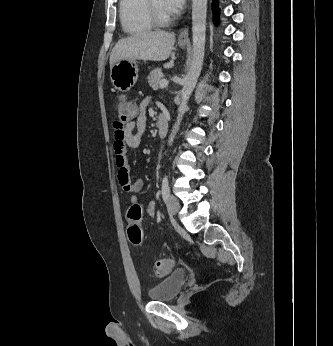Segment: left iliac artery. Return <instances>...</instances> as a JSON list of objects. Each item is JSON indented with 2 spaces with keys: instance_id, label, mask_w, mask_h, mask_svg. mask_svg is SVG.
Segmentation results:
<instances>
[{
  "instance_id": "left-iliac-artery-1",
  "label": "left iliac artery",
  "mask_w": 333,
  "mask_h": 346,
  "mask_svg": "<svg viewBox=\"0 0 333 346\" xmlns=\"http://www.w3.org/2000/svg\"><path fill=\"white\" fill-rule=\"evenodd\" d=\"M169 196H170L169 181H168V177L166 175H164L163 180H162V197H163V200L166 202Z\"/></svg>"
}]
</instances>
